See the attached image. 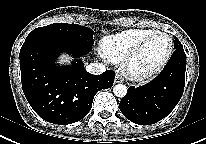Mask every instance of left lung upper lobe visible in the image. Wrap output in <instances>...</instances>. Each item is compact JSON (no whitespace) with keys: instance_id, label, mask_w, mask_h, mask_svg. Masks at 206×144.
<instances>
[{"instance_id":"1","label":"left lung upper lobe","mask_w":206,"mask_h":144,"mask_svg":"<svg viewBox=\"0 0 206 144\" xmlns=\"http://www.w3.org/2000/svg\"><path fill=\"white\" fill-rule=\"evenodd\" d=\"M179 45H181V43H180L179 40L175 37V45H174V48H175V47H178Z\"/></svg>"}]
</instances>
